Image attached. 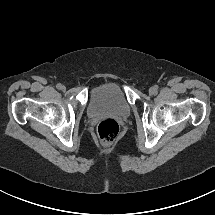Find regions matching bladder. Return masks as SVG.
<instances>
[{
    "mask_svg": "<svg viewBox=\"0 0 215 215\" xmlns=\"http://www.w3.org/2000/svg\"><path fill=\"white\" fill-rule=\"evenodd\" d=\"M131 111L129 102L117 84L103 83L92 90L88 103L89 115L112 114L125 118L130 116Z\"/></svg>",
    "mask_w": 215,
    "mask_h": 215,
    "instance_id": "31cf9c89",
    "label": "bladder"
}]
</instances>
